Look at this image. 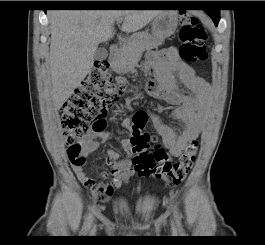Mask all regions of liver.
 Returning <instances> with one entry per match:
<instances>
[{
    "mask_svg": "<svg viewBox=\"0 0 265 245\" xmlns=\"http://www.w3.org/2000/svg\"><path fill=\"white\" fill-rule=\"evenodd\" d=\"M162 10H57L50 14L49 66L54 107L59 110L90 72L100 43L114 35L113 24L123 20L122 31L145 27Z\"/></svg>",
    "mask_w": 265,
    "mask_h": 245,
    "instance_id": "1",
    "label": "liver"
}]
</instances>
